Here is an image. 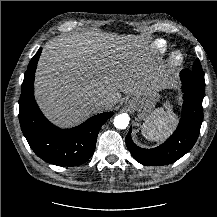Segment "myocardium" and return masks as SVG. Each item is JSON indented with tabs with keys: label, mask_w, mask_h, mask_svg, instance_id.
<instances>
[{
	"label": "myocardium",
	"mask_w": 217,
	"mask_h": 217,
	"mask_svg": "<svg viewBox=\"0 0 217 217\" xmlns=\"http://www.w3.org/2000/svg\"><path fill=\"white\" fill-rule=\"evenodd\" d=\"M184 63V56L180 52H174L170 57V66L172 68L180 67Z\"/></svg>",
	"instance_id": "obj_1"
}]
</instances>
